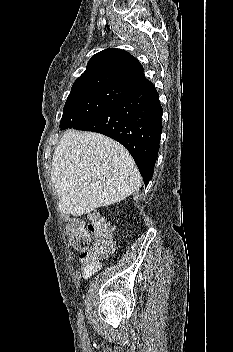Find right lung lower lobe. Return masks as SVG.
<instances>
[{
	"mask_svg": "<svg viewBox=\"0 0 233 352\" xmlns=\"http://www.w3.org/2000/svg\"><path fill=\"white\" fill-rule=\"evenodd\" d=\"M162 114L158 92L152 85L74 129L101 133L121 143L134 158L146 186L158 156Z\"/></svg>",
	"mask_w": 233,
	"mask_h": 352,
	"instance_id": "98d812e1",
	"label": "right lung lower lobe"
}]
</instances>
